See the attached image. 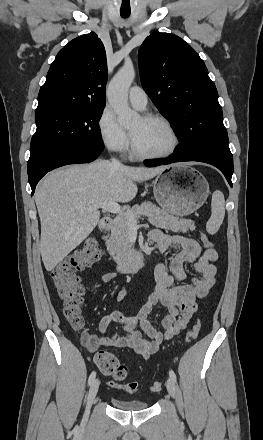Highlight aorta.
<instances>
[{"instance_id": "1", "label": "aorta", "mask_w": 263, "mask_h": 440, "mask_svg": "<svg viewBox=\"0 0 263 440\" xmlns=\"http://www.w3.org/2000/svg\"><path fill=\"white\" fill-rule=\"evenodd\" d=\"M135 78V70L131 63L125 64L113 77L108 86V101L122 125H128L139 118L137 112L128 105V90Z\"/></svg>"}]
</instances>
